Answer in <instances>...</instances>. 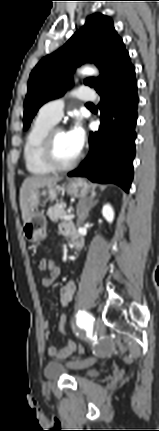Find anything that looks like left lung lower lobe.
Listing matches in <instances>:
<instances>
[{
  "mask_svg": "<svg viewBox=\"0 0 159 431\" xmlns=\"http://www.w3.org/2000/svg\"><path fill=\"white\" fill-rule=\"evenodd\" d=\"M99 131L91 132L90 152L69 177H87L93 182L114 183L129 192L135 157L137 80L132 64L100 90Z\"/></svg>",
  "mask_w": 159,
  "mask_h": 431,
  "instance_id": "left-lung-lower-lobe-1",
  "label": "left lung lower lobe"
}]
</instances>
